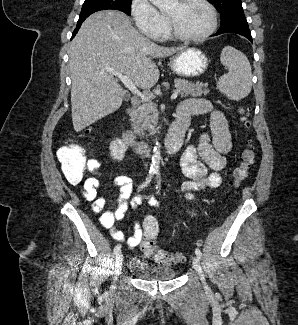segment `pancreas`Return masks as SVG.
I'll use <instances>...</instances> for the list:
<instances>
[{
    "instance_id": "cf45deb5",
    "label": "pancreas",
    "mask_w": 298,
    "mask_h": 325,
    "mask_svg": "<svg viewBox=\"0 0 298 325\" xmlns=\"http://www.w3.org/2000/svg\"><path fill=\"white\" fill-rule=\"evenodd\" d=\"M174 84L179 88L180 96H207L210 90L208 82H192L186 78H174ZM133 128L138 134H144L143 130H148L150 134H155L158 128V108L154 102H144L132 112Z\"/></svg>"
}]
</instances>
